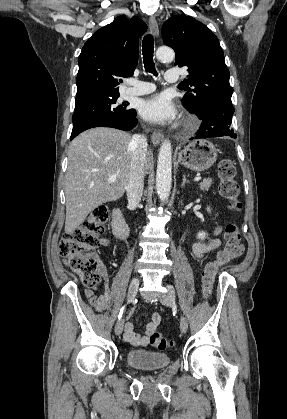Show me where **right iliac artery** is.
<instances>
[{"label":"right iliac artery","mask_w":287,"mask_h":419,"mask_svg":"<svg viewBox=\"0 0 287 419\" xmlns=\"http://www.w3.org/2000/svg\"><path fill=\"white\" fill-rule=\"evenodd\" d=\"M123 310H124V307H122V308H121V310H120V313H119V315H118V318H119V319L122 317Z\"/></svg>","instance_id":"1"}]
</instances>
